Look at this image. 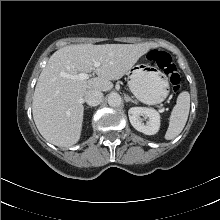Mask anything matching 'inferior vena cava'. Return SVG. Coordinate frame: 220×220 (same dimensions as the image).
Here are the masks:
<instances>
[{
	"label": "inferior vena cava",
	"mask_w": 220,
	"mask_h": 220,
	"mask_svg": "<svg viewBox=\"0 0 220 220\" xmlns=\"http://www.w3.org/2000/svg\"><path fill=\"white\" fill-rule=\"evenodd\" d=\"M103 94L99 90L90 89L87 90L84 94V101L89 106H97L102 102Z\"/></svg>",
	"instance_id": "obj_1"
}]
</instances>
